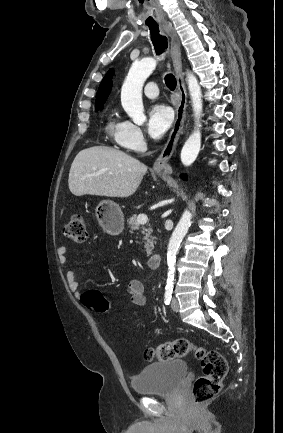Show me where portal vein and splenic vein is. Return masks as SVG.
<instances>
[{
    "mask_svg": "<svg viewBox=\"0 0 283 433\" xmlns=\"http://www.w3.org/2000/svg\"><path fill=\"white\" fill-rule=\"evenodd\" d=\"M137 221L140 225H145L148 221L147 214H138Z\"/></svg>",
    "mask_w": 283,
    "mask_h": 433,
    "instance_id": "obj_1",
    "label": "portal vein and splenic vein"
}]
</instances>
